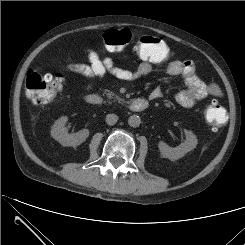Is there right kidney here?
I'll return each mask as SVG.
<instances>
[{"instance_id":"obj_1","label":"right kidney","mask_w":245,"mask_h":245,"mask_svg":"<svg viewBox=\"0 0 245 245\" xmlns=\"http://www.w3.org/2000/svg\"><path fill=\"white\" fill-rule=\"evenodd\" d=\"M68 117L62 116L51 128V136L63 146L77 147L89 136V130L83 129L74 134H68L65 127Z\"/></svg>"}]
</instances>
